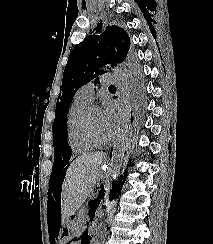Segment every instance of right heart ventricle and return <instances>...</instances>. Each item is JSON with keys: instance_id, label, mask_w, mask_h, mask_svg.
Wrapping results in <instances>:
<instances>
[{"instance_id": "1", "label": "right heart ventricle", "mask_w": 213, "mask_h": 244, "mask_svg": "<svg viewBox=\"0 0 213 244\" xmlns=\"http://www.w3.org/2000/svg\"><path fill=\"white\" fill-rule=\"evenodd\" d=\"M90 104V101L76 94L67 114V141L76 153L90 152L97 146L87 135L84 125L85 113Z\"/></svg>"}]
</instances>
